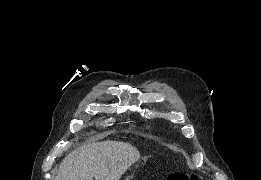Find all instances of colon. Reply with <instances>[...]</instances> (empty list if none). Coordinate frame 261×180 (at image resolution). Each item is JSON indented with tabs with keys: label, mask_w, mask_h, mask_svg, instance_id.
<instances>
[{
	"label": "colon",
	"mask_w": 261,
	"mask_h": 180,
	"mask_svg": "<svg viewBox=\"0 0 261 180\" xmlns=\"http://www.w3.org/2000/svg\"><path fill=\"white\" fill-rule=\"evenodd\" d=\"M167 180H197L198 177L191 173L172 172L167 175Z\"/></svg>",
	"instance_id": "colon-1"
}]
</instances>
